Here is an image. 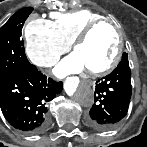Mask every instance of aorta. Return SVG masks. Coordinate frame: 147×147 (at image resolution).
I'll return each mask as SVG.
<instances>
[{
    "mask_svg": "<svg viewBox=\"0 0 147 147\" xmlns=\"http://www.w3.org/2000/svg\"><path fill=\"white\" fill-rule=\"evenodd\" d=\"M70 94L82 106H90L94 102L93 89L87 83H80Z\"/></svg>",
    "mask_w": 147,
    "mask_h": 147,
    "instance_id": "obj_1",
    "label": "aorta"
}]
</instances>
